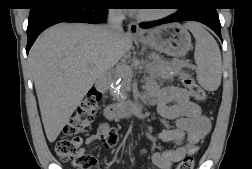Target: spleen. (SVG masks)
<instances>
[{"mask_svg":"<svg viewBox=\"0 0 252 169\" xmlns=\"http://www.w3.org/2000/svg\"><path fill=\"white\" fill-rule=\"evenodd\" d=\"M186 27L193 34L196 45L194 59L197 65L196 79L207 91H215L221 84L222 59L215 39L198 23H187Z\"/></svg>","mask_w":252,"mask_h":169,"instance_id":"spleen-1","label":"spleen"}]
</instances>
